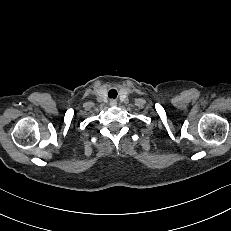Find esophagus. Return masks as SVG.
<instances>
[{
    "mask_svg": "<svg viewBox=\"0 0 231 231\" xmlns=\"http://www.w3.org/2000/svg\"><path fill=\"white\" fill-rule=\"evenodd\" d=\"M116 104H117V102H116L115 100H111V101H110V105H111V106H116Z\"/></svg>",
    "mask_w": 231,
    "mask_h": 231,
    "instance_id": "esophagus-1",
    "label": "esophagus"
}]
</instances>
